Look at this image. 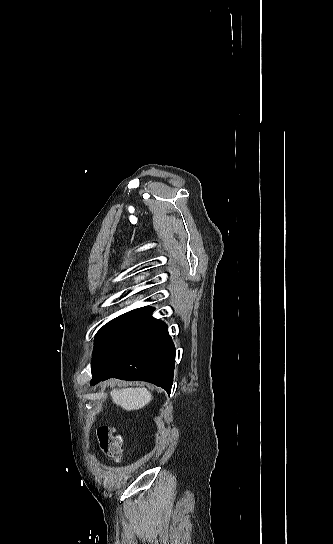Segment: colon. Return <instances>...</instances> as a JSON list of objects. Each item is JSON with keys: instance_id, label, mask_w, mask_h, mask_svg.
<instances>
[{"instance_id": "5ec220e1", "label": "colon", "mask_w": 333, "mask_h": 544, "mask_svg": "<svg viewBox=\"0 0 333 544\" xmlns=\"http://www.w3.org/2000/svg\"><path fill=\"white\" fill-rule=\"evenodd\" d=\"M97 439L101 450L111 459L119 461L122 455V438L109 427L97 430Z\"/></svg>"}]
</instances>
